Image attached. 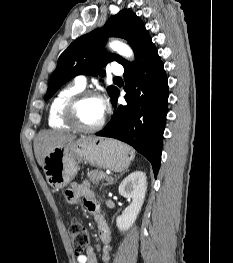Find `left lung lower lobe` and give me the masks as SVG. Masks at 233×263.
Here are the masks:
<instances>
[{
	"mask_svg": "<svg viewBox=\"0 0 233 263\" xmlns=\"http://www.w3.org/2000/svg\"><path fill=\"white\" fill-rule=\"evenodd\" d=\"M126 105H119L98 136L133 146L152 164L155 176L161 160L163 132L168 110V85L163 63L150 41L135 62L124 67ZM119 90L112 98L115 106Z\"/></svg>",
	"mask_w": 233,
	"mask_h": 263,
	"instance_id": "1",
	"label": "left lung lower lobe"
}]
</instances>
